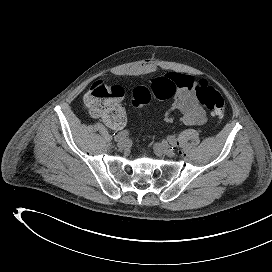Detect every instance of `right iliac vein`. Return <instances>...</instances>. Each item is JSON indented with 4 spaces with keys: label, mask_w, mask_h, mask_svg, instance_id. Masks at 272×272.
Here are the masks:
<instances>
[{
    "label": "right iliac vein",
    "mask_w": 272,
    "mask_h": 272,
    "mask_svg": "<svg viewBox=\"0 0 272 272\" xmlns=\"http://www.w3.org/2000/svg\"><path fill=\"white\" fill-rule=\"evenodd\" d=\"M117 146L119 149H125L128 146V140L125 138H122L118 141Z\"/></svg>",
    "instance_id": "1"
}]
</instances>
